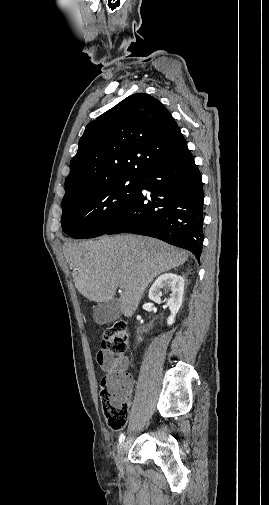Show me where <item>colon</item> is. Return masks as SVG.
Masks as SVG:
<instances>
[{"label": "colon", "mask_w": 269, "mask_h": 505, "mask_svg": "<svg viewBox=\"0 0 269 505\" xmlns=\"http://www.w3.org/2000/svg\"><path fill=\"white\" fill-rule=\"evenodd\" d=\"M127 325L118 321L103 334L102 348L114 357H123L128 349ZM130 378L125 374L106 376L100 384V400L105 420L110 429L121 430L128 417Z\"/></svg>", "instance_id": "1"}]
</instances>
